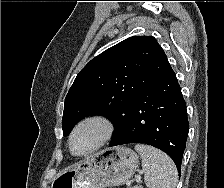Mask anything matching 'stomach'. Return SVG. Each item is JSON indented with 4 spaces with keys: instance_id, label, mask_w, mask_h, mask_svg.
Segmentation results:
<instances>
[{
    "instance_id": "obj_1",
    "label": "stomach",
    "mask_w": 224,
    "mask_h": 188,
    "mask_svg": "<svg viewBox=\"0 0 224 188\" xmlns=\"http://www.w3.org/2000/svg\"><path fill=\"white\" fill-rule=\"evenodd\" d=\"M139 165L138 155L130 148L103 149L60 172L51 188H105L126 183Z\"/></svg>"
}]
</instances>
